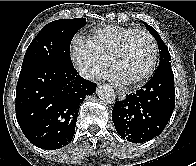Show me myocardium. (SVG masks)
<instances>
[{
  "instance_id": "f54148a6",
  "label": "myocardium",
  "mask_w": 196,
  "mask_h": 166,
  "mask_svg": "<svg viewBox=\"0 0 196 166\" xmlns=\"http://www.w3.org/2000/svg\"><path fill=\"white\" fill-rule=\"evenodd\" d=\"M136 33H143L149 38V40L151 42V46H152V61L149 65V67L147 68V70L141 76H139L131 81L126 82L127 84H130V85L140 84V83H143L146 80H148L152 76V74L154 73V71L157 67V63H158V46H157V42H156L154 36L148 30H146L144 28H136V29L132 30L128 35H126L125 38L123 39L120 47L118 48L117 52L115 53V55L112 59V68L115 70L118 62L125 55L131 38Z\"/></svg>"
}]
</instances>
